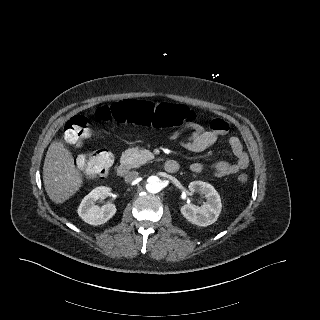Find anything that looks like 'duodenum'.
Listing matches in <instances>:
<instances>
[{
    "label": "duodenum",
    "instance_id": "obj_1",
    "mask_svg": "<svg viewBox=\"0 0 320 320\" xmlns=\"http://www.w3.org/2000/svg\"><path fill=\"white\" fill-rule=\"evenodd\" d=\"M180 168L179 163L176 160L169 159L164 163V170L168 173H176ZM129 165L126 162H121L117 166V174L120 177H124L129 172Z\"/></svg>",
    "mask_w": 320,
    "mask_h": 320
}]
</instances>
